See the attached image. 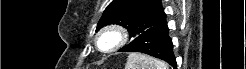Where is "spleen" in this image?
Returning <instances> with one entry per match:
<instances>
[{
    "mask_svg": "<svg viewBox=\"0 0 246 69\" xmlns=\"http://www.w3.org/2000/svg\"><path fill=\"white\" fill-rule=\"evenodd\" d=\"M125 69H169V65L153 57L134 52L128 55Z\"/></svg>",
    "mask_w": 246,
    "mask_h": 69,
    "instance_id": "1",
    "label": "spleen"
}]
</instances>
